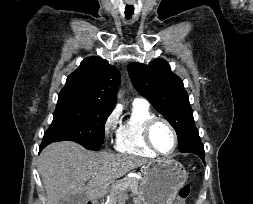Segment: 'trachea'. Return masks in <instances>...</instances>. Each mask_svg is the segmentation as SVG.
Returning <instances> with one entry per match:
<instances>
[{"label": "trachea", "mask_w": 253, "mask_h": 204, "mask_svg": "<svg viewBox=\"0 0 253 204\" xmlns=\"http://www.w3.org/2000/svg\"><path fill=\"white\" fill-rule=\"evenodd\" d=\"M134 14V6L133 5H126L125 7V17L126 19H131L132 15Z\"/></svg>", "instance_id": "obj_1"}]
</instances>
